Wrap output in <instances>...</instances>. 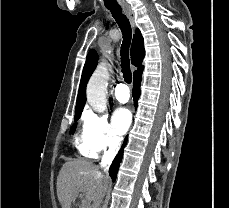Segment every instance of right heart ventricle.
<instances>
[{"label":"right heart ventricle","mask_w":229,"mask_h":208,"mask_svg":"<svg viewBox=\"0 0 229 208\" xmlns=\"http://www.w3.org/2000/svg\"><path fill=\"white\" fill-rule=\"evenodd\" d=\"M81 150H82L85 154H87V153L82 149V147H81ZM87 155H90V154H87Z\"/></svg>","instance_id":"1"}]
</instances>
